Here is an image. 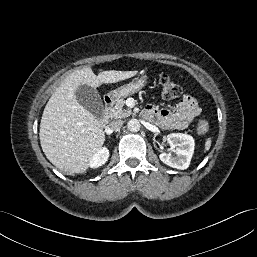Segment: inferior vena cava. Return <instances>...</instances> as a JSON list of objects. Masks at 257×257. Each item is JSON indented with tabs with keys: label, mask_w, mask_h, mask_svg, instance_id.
I'll return each mask as SVG.
<instances>
[{
	"label": "inferior vena cava",
	"mask_w": 257,
	"mask_h": 257,
	"mask_svg": "<svg viewBox=\"0 0 257 257\" xmlns=\"http://www.w3.org/2000/svg\"><path fill=\"white\" fill-rule=\"evenodd\" d=\"M123 125V121L122 120H115V121H112L110 124H109V129L111 131H115V130H118L122 127Z\"/></svg>",
	"instance_id": "1"
}]
</instances>
